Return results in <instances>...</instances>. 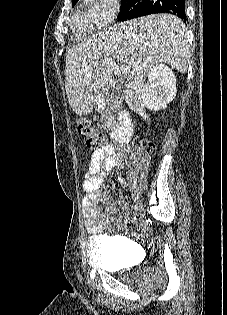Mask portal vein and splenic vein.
Here are the masks:
<instances>
[{
  "label": "portal vein and splenic vein",
  "mask_w": 227,
  "mask_h": 315,
  "mask_svg": "<svg viewBox=\"0 0 227 315\" xmlns=\"http://www.w3.org/2000/svg\"><path fill=\"white\" fill-rule=\"evenodd\" d=\"M107 64L109 65V67H111V70L116 75H124L128 71V68H126V67H119V66L115 65L113 62L108 61Z\"/></svg>",
  "instance_id": "portal-vein-and-splenic-vein-1"
}]
</instances>
